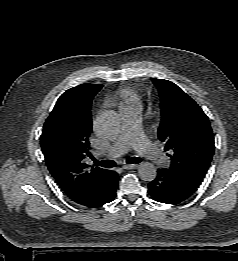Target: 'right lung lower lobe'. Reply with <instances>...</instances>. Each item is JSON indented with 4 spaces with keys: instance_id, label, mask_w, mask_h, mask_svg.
<instances>
[{
    "instance_id": "right-lung-lower-lobe-1",
    "label": "right lung lower lobe",
    "mask_w": 238,
    "mask_h": 261,
    "mask_svg": "<svg viewBox=\"0 0 238 261\" xmlns=\"http://www.w3.org/2000/svg\"><path fill=\"white\" fill-rule=\"evenodd\" d=\"M118 174L107 170L97 186L76 203L89 208L101 207L114 200L118 186Z\"/></svg>"
}]
</instances>
